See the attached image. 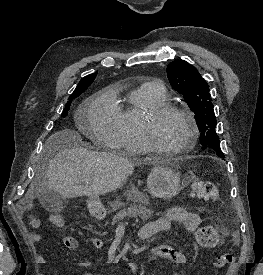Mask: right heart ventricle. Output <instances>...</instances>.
I'll list each match as a JSON object with an SVG mask.
<instances>
[{
  "label": "right heart ventricle",
  "mask_w": 263,
  "mask_h": 275,
  "mask_svg": "<svg viewBox=\"0 0 263 275\" xmlns=\"http://www.w3.org/2000/svg\"><path fill=\"white\" fill-rule=\"evenodd\" d=\"M165 103L166 95L155 83H142L130 90L125 104L116 108V147L130 155L147 153L141 133L142 118L150 109Z\"/></svg>",
  "instance_id": "1"
}]
</instances>
